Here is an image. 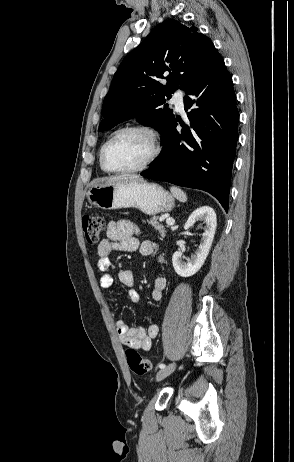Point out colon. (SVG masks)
<instances>
[{
  "label": "colon",
  "instance_id": "1",
  "mask_svg": "<svg viewBox=\"0 0 294 462\" xmlns=\"http://www.w3.org/2000/svg\"><path fill=\"white\" fill-rule=\"evenodd\" d=\"M82 224L87 242L97 244L106 229L105 219L101 216L87 215L83 217ZM126 358L130 369L137 375H143L151 368L149 359L143 357L134 349L127 350Z\"/></svg>",
  "mask_w": 294,
  "mask_h": 462
}]
</instances>
